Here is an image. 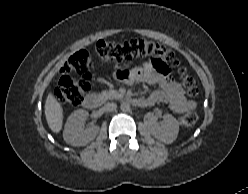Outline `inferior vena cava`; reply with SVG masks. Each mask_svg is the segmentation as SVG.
Masks as SVG:
<instances>
[{
  "instance_id": "602c4592",
  "label": "inferior vena cava",
  "mask_w": 248,
  "mask_h": 194,
  "mask_svg": "<svg viewBox=\"0 0 248 194\" xmlns=\"http://www.w3.org/2000/svg\"><path fill=\"white\" fill-rule=\"evenodd\" d=\"M103 108L106 112H112V111L116 110L117 105L113 102L112 103H106Z\"/></svg>"
}]
</instances>
